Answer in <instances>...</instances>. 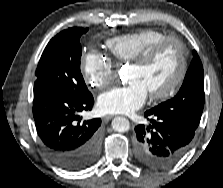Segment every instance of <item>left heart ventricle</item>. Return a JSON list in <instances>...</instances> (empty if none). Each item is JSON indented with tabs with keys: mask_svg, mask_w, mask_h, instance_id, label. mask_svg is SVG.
<instances>
[{
	"mask_svg": "<svg viewBox=\"0 0 223 188\" xmlns=\"http://www.w3.org/2000/svg\"><path fill=\"white\" fill-rule=\"evenodd\" d=\"M179 62L178 47L175 44H169L146 66H130L127 80L139 81L148 93L163 90L174 80L179 69Z\"/></svg>",
	"mask_w": 223,
	"mask_h": 188,
	"instance_id": "1",
	"label": "left heart ventricle"
}]
</instances>
